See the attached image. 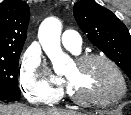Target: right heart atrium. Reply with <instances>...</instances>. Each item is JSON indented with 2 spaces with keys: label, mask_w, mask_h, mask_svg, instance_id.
Here are the masks:
<instances>
[{
  "label": "right heart atrium",
  "mask_w": 131,
  "mask_h": 115,
  "mask_svg": "<svg viewBox=\"0 0 131 115\" xmlns=\"http://www.w3.org/2000/svg\"><path fill=\"white\" fill-rule=\"evenodd\" d=\"M41 65L39 56L28 53L22 59L19 70V84L23 94L30 100L49 103L59 96V91L39 78L37 70Z\"/></svg>",
  "instance_id": "obj_1"
}]
</instances>
